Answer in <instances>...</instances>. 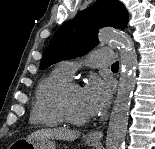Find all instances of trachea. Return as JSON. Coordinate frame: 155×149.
I'll return each instance as SVG.
<instances>
[{
  "instance_id": "obj_1",
  "label": "trachea",
  "mask_w": 155,
  "mask_h": 149,
  "mask_svg": "<svg viewBox=\"0 0 155 149\" xmlns=\"http://www.w3.org/2000/svg\"><path fill=\"white\" fill-rule=\"evenodd\" d=\"M112 69H118L119 68V62H115L112 66H111Z\"/></svg>"
}]
</instances>
